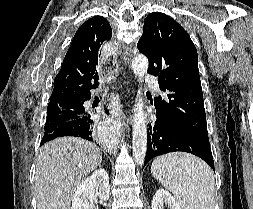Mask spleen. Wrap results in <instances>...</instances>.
I'll return each mask as SVG.
<instances>
[{
	"label": "spleen",
	"instance_id": "1",
	"mask_svg": "<svg viewBox=\"0 0 253 209\" xmlns=\"http://www.w3.org/2000/svg\"><path fill=\"white\" fill-rule=\"evenodd\" d=\"M151 173L171 191L182 209H214V176L201 159L186 153L157 157Z\"/></svg>",
	"mask_w": 253,
	"mask_h": 209
}]
</instances>
